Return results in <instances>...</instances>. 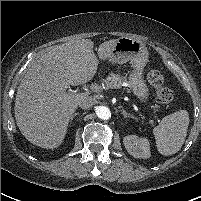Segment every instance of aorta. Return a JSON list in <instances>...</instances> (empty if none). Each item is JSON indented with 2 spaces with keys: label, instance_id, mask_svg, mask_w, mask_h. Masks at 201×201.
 Masks as SVG:
<instances>
[{
  "label": "aorta",
  "instance_id": "762f6f07",
  "mask_svg": "<svg viewBox=\"0 0 201 201\" xmlns=\"http://www.w3.org/2000/svg\"><path fill=\"white\" fill-rule=\"evenodd\" d=\"M96 114L98 118L107 120L111 117V111L106 106H99L96 108Z\"/></svg>",
  "mask_w": 201,
  "mask_h": 201
}]
</instances>
